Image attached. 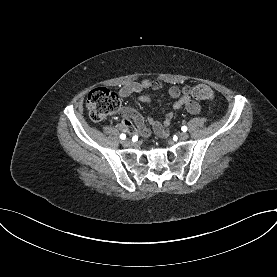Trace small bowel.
<instances>
[{
  "mask_svg": "<svg viewBox=\"0 0 277 277\" xmlns=\"http://www.w3.org/2000/svg\"><path fill=\"white\" fill-rule=\"evenodd\" d=\"M161 88V82L144 79L142 81L127 83L119 90L118 96L121 98H126L132 94H140L138 100L142 103L148 104L151 102V98L142 93L148 89L160 90ZM168 95L176 100L173 104L174 110L185 108L186 111L190 114L200 113L201 107L199 103L194 100L190 86H172L168 90ZM121 114L125 118L123 127L132 131L134 128L132 123L129 121V119H132L137 131L143 137H149L152 133L159 137L167 136L169 133V127L174 118V113L172 111L168 112L164 116L163 121H159L154 116H150L148 117V123L150 124L151 128H149L146 126L144 117L135 109L129 107L123 108Z\"/></svg>",
  "mask_w": 277,
  "mask_h": 277,
  "instance_id": "obj_1",
  "label": "small bowel"
}]
</instances>
